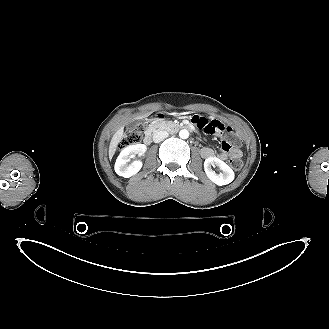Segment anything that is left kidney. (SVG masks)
<instances>
[{"mask_svg": "<svg viewBox=\"0 0 329 329\" xmlns=\"http://www.w3.org/2000/svg\"><path fill=\"white\" fill-rule=\"evenodd\" d=\"M216 165L222 172L219 174L212 170L211 166ZM204 171L207 177L215 184L222 186L231 183L234 180L233 170L217 157H209L204 162Z\"/></svg>", "mask_w": 329, "mask_h": 329, "instance_id": "obj_1", "label": "left kidney"}]
</instances>
